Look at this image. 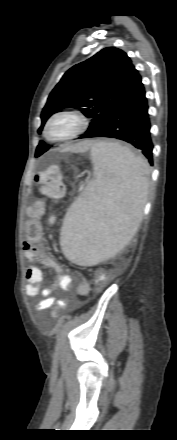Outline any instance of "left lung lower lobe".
I'll list each match as a JSON object with an SVG mask.
<instances>
[{
  "mask_svg": "<svg viewBox=\"0 0 177 440\" xmlns=\"http://www.w3.org/2000/svg\"><path fill=\"white\" fill-rule=\"evenodd\" d=\"M145 89L140 81L127 100L99 129L82 138L109 137L123 140L141 150L153 165V143Z\"/></svg>",
  "mask_w": 177,
  "mask_h": 440,
  "instance_id": "0a47b994",
  "label": "left lung lower lobe"
}]
</instances>
